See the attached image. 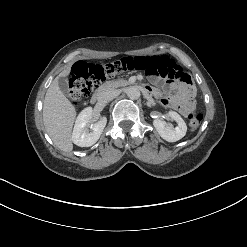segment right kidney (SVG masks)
<instances>
[{
  "instance_id": "1",
  "label": "right kidney",
  "mask_w": 247,
  "mask_h": 247,
  "mask_svg": "<svg viewBox=\"0 0 247 247\" xmlns=\"http://www.w3.org/2000/svg\"><path fill=\"white\" fill-rule=\"evenodd\" d=\"M94 121L91 107H87L80 112L72 133V141L75 145L79 147H90L97 142L106 126L107 118L103 116L98 122L93 123ZM90 125L92 132L89 133L87 126Z\"/></svg>"
}]
</instances>
